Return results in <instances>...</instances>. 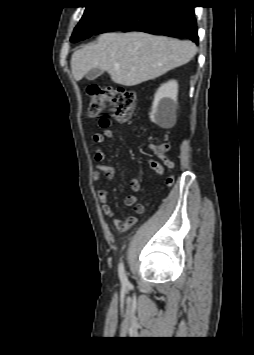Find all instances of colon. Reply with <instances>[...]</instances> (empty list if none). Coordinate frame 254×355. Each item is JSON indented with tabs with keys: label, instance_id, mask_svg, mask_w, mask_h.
I'll return each instance as SVG.
<instances>
[{
	"label": "colon",
	"instance_id": "obj_1",
	"mask_svg": "<svg viewBox=\"0 0 254 355\" xmlns=\"http://www.w3.org/2000/svg\"><path fill=\"white\" fill-rule=\"evenodd\" d=\"M90 97L87 117L89 119L100 118L99 124L101 125L105 118H101V115L105 109L106 104H109L112 109L113 118L119 123H129L132 120L136 94L134 91L124 87H99L91 85L87 89ZM168 143H161L154 145V148L159 152H163L168 149ZM174 182V176H169L165 184L167 186L172 185Z\"/></svg>",
	"mask_w": 254,
	"mask_h": 355
}]
</instances>
